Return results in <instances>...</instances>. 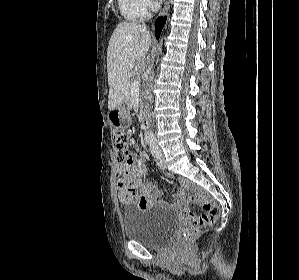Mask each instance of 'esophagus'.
I'll return each instance as SVG.
<instances>
[{
  "instance_id": "34e87169",
  "label": "esophagus",
  "mask_w": 299,
  "mask_h": 280,
  "mask_svg": "<svg viewBox=\"0 0 299 280\" xmlns=\"http://www.w3.org/2000/svg\"><path fill=\"white\" fill-rule=\"evenodd\" d=\"M170 1L171 0H168L166 6L164 7L163 11H162V15H166L169 11V8H170Z\"/></svg>"
}]
</instances>
